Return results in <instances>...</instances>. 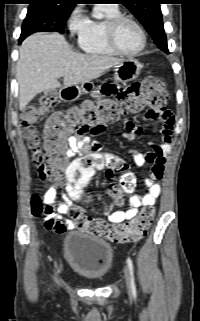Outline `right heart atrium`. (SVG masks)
<instances>
[{
	"instance_id": "1",
	"label": "right heart atrium",
	"mask_w": 200,
	"mask_h": 321,
	"mask_svg": "<svg viewBox=\"0 0 200 321\" xmlns=\"http://www.w3.org/2000/svg\"><path fill=\"white\" fill-rule=\"evenodd\" d=\"M87 18L82 13L81 9L76 7L70 13L67 24L71 34H79L85 27Z\"/></svg>"
}]
</instances>
